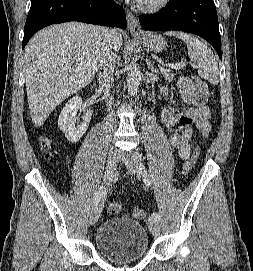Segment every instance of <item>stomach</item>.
I'll return each mask as SVG.
<instances>
[{
    "instance_id": "0dacf381",
    "label": "stomach",
    "mask_w": 253,
    "mask_h": 271,
    "mask_svg": "<svg viewBox=\"0 0 253 271\" xmlns=\"http://www.w3.org/2000/svg\"><path fill=\"white\" fill-rule=\"evenodd\" d=\"M140 39L148 50L154 52L162 51L167 45L165 39L158 34L145 33Z\"/></svg>"
}]
</instances>
